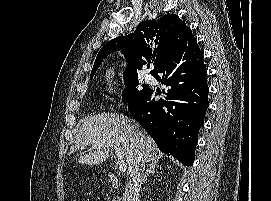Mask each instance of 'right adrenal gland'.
Here are the masks:
<instances>
[{"label": "right adrenal gland", "mask_w": 271, "mask_h": 201, "mask_svg": "<svg viewBox=\"0 0 271 201\" xmlns=\"http://www.w3.org/2000/svg\"><path fill=\"white\" fill-rule=\"evenodd\" d=\"M158 165H159V161L158 160H155V161H152L150 164H149V167L148 169L146 170V173L145 175L143 176V179H142V184H144L148 178V176L150 174H154L156 172V168H158Z\"/></svg>", "instance_id": "right-adrenal-gland-1"}]
</instances>
